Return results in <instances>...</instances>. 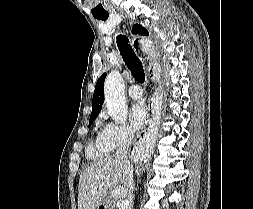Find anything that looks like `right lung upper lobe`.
<instances>
[{"instance_id":"right-lung-upper-lobe-1","label":"right lung upper lobe","mask_w":253,"mask_h":209,"mask_svg":"<svg viewBox=\"0 0 253 209\" xmlns=\"http://www.w3.org/2000/svg\"><path fill=\"white\" fill-rule=\"evenodd\" d=\"M132 33L139 34V35H149L148 30L138 24H135L132 27ZM105 77H106V73L102 74V76L98 79L96 83L95 91H94V95L92 99V113H91L90 119H96V117L99 114V110L104 102L103 92H104Z\"/></svg>"}]
</instances>
